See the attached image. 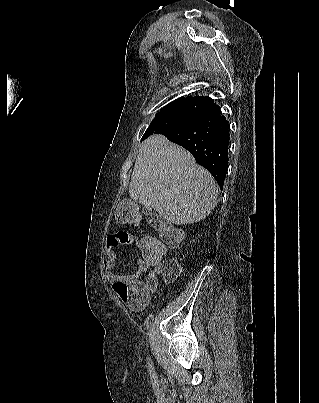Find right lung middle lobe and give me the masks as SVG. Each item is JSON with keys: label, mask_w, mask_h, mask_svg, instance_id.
<instances>
[{"label": "right lung middle lobe", "mask_w": 319, "mask_h": 403, "mask_svg": "<svg viewBox=\"0 0 319 403\" xmlns=\"http://www.w3.org/2000/svg\"><path fill=\"white\" fill-rule=\"evenodd\" d=\"M213 114L212 110L190 102H173L161 109L141 140L168 127L182 126Z\"/></svg>", "instance_id": "1"}]
</instances>
